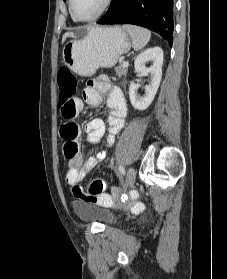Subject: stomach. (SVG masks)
I'll list each match as a JSON object with an SVG mask.
<instances>
[{"mask_svg": "<svg viewBox=\"0 0 227 279\" xmlns=\"http://www.w3.org/2000/svg\"><path fill=\"white\" fill-rule=\"evenodd\" d=\"M130 48V38L122 28L96 26L73 33L63 47L62 56L73 72L92 76L99 68L113 67Z\"/></svg>", "mask_w": 227, "mask_h": 279, "instance_id": "obj_1", "label": "stomach"}]
</instances>
